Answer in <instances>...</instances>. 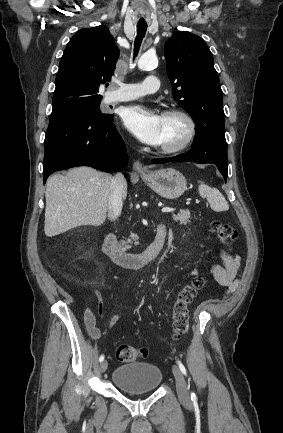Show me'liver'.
I'll list each match as a JSON object with an SVG mask.
<instances>
[{
    "mask_svg": "<svg viewBox=\"0 0 283 433\" xmlns=\"http://www.w3.org/2000/svg\"><path fill=\"white\" fill-rule=\"evenodd\" d=\"M111 182V174L98 172L90 166L71 168L66 176H50L45 192V235L55 237L81 225H103L107 217ZM126 196L125 180L122 198Z\"/></svg>",
    "mask_w": 283,
    "mask_h": 433,
    "instance_id": "liver-1",
    "label": "liver"
}]
</instances>
